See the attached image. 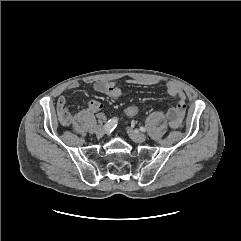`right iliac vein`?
Masks as SVG:
<instances>
[{
    "label": "right iliac vein",
    "mask_w": 241,
    "mask_h": 241,
    "mask_svg": "<svg viewBox=\"0 0 241 241\" xmlns=\"http://www.w3.org/2000/svg\"><path fill=\"white\" fill-rule=\"evenodd\" d=\"M95 133L98 137H102L106 133V130L103 126H97L95 129Z\"/></svg>",
    "instance_id": "1"
}]
</instances>
